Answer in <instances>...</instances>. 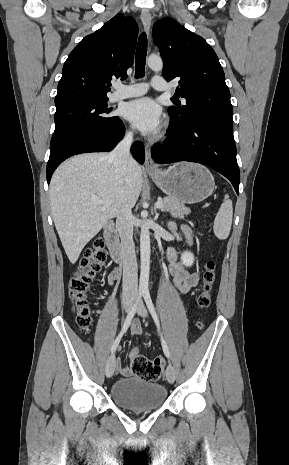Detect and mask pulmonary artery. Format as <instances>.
<instances>
[{
    "label": "pulmonary artery",
    "instance_id": "e3ab8cb5",
    "mask_svg": "<svg viewBox=\"0 0 289 465\" xmlns=\"http://www.w3.org/2000/svg\"><path fill=\"white\" fill-rule=\"evenodd\" d=\"M151 87L158 91H166L169 89L165 79L161 76H154L151 81ZM149 85L144 82L134 83L131 85L117 84L115 92L110 96L111 101H118L125 98L136 97L147 92Z\"/></svg>",
    "mask_w": 289,
    "mask_h": 465
}]
</instances>
